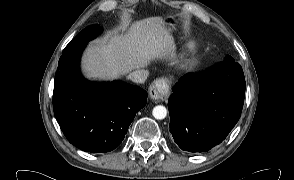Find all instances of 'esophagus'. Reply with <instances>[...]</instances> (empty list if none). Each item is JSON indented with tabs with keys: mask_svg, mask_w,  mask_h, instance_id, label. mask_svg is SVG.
Listing matches in <instances>:
<instances>
[{
	"mask_svg": "<svg viewBox=\"0 0 294 180\" xmlns=\"http://www.w3.org/2000/svg\"><path fill=\"white\" fill-rule=\"evenodd\" d=\"M170 93V80L167 77L157 79L149 87V96L156 101H163Z\"/></svg>",
	"mask_w": 294,
	"mask_h": 180,
	"instance_id": "esophagus-1",
	"label": "esophagus"
}]
</instances>
